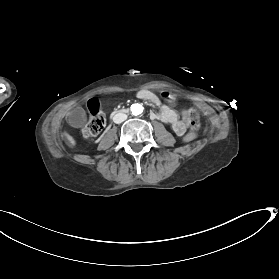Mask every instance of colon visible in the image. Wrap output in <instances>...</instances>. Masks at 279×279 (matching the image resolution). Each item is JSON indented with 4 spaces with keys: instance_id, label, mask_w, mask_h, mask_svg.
<instances>
[{
    "instance_id": "1",
    "label": "colon",
    "mask_w": 279,
    "mask_h": 279,
    "mask_svg": "<svg viewBox=\"0 0 279 279\" xmlns=\"http://www.w3.org/2000/svg\"><path fill=\"white\" fill-rule=\"evenodd\" d=\"M182 116L189 126L190 132L185 136L187 142L192 141L196 137V131L199 129V115L194 109H184ZM105 127V116L100 109L91 113L90 119L82 129V136L90 138L97 136Z\"/></svg>"
}]
</instances>
